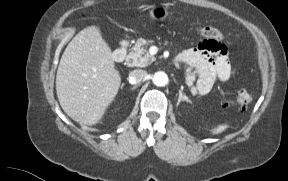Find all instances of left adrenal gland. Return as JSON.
<instances>
[{"mask_svg":"<svg viewBox=\"0 0 288 181\" xmlns=\"http://www.w3.org/2000/svg\"><path fill=\"white\" fill-rule=\"evenodd\" d=\"M178 101L179 102H190V100L186 96H183L181 93L179 94Z\"/></svg>","mask_w":288,"mask_h":181,"instance_id":"obj_1","label":"left adrenal gland"}]
</instances>
